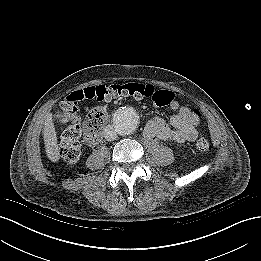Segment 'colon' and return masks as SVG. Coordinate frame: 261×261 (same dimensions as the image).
Here are the masks:
<instances>
[{
  "instance_id": "colon-1",
  "label": "colon",
  "mask_w": 261,
  "mask_h": 261,
  "mask_svg": "<svg viewBox=\"0 0 261 261\" xmlns=\"http://www.w3.org/2000/svg\"><path fill=\"white\" fill-rule=\"evenodd\" d=\"M121 97L151 98L156 105L167 106L174 95L169 91L158 90L150 84L137 82L92 86L70 94L61 104V117L65 129L61 135L59 153L65 162L76 164L81 156L79 140L82 135V124L78 115V103L84 99L111 101ZM194 111L196 116L200 117V113L195 109ZM106 119L107 113L103 107H95L88 113L85 121V138L88 144L98 143ZM196 148L202 152L208 150L209 141L204 135L198 137Z\"/></svg>"
}]
</instances>
